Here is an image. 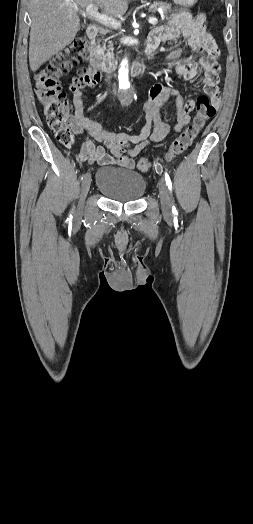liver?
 <instances>
[{"mask_svg": "<svg viewBox=\"0 0 253 524\" xmlns=\"http://www.w3.org/2000/svg\"><path fill=\"white\" fill-rule=\"evenodd\" d=\"M94 4L107 15L120 17L128 0H30L29 64L32 71L68 46L80 28L78 12Z\"/></svg>", "mask_w": 253, "mask_h": 524, "instance_id": "obj_1", "label": "liver"}]
</instances>
